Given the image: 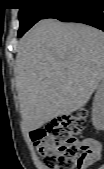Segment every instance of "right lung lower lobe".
Masks as SVG:
<instances>
[{
  "label": "right lung lower lobe",
  "mask_w": 104,
  "mask_h": 169,
  "mask_svg": "<svg viewBox=\"0 0 104 169\" xmlns=\"http://www.w3.org/2000/svg\"><path fill=\"white\" fill-rule=\"evenodd\" d=\"M45 17L64 22H78L104 31V0H59Z\"/></svg>",
  "instance_id": "obj_1"
}]
</instances>
